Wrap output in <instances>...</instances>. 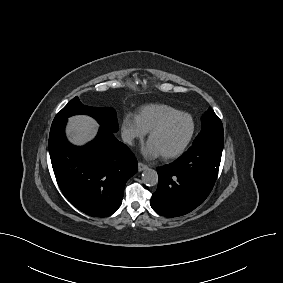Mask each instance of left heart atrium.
<instances>
[{
	"instance_id": "1",
	"label": "left heart atrium",
	"mask_w": 283,
	"mask_h": 283,
	"mask_svg": "<svg viewBox=\"0 0 283 283\" xmlns=\"http://www.w3.org/2000/svg\"><path fill=\"white\" fill-rule=\"evenodd\" d=\"M142 154L150 159L158 157L161 153L150 140L142 147Z\"/></svg>"
}]
</instances>
